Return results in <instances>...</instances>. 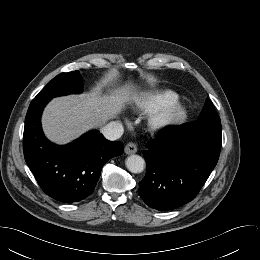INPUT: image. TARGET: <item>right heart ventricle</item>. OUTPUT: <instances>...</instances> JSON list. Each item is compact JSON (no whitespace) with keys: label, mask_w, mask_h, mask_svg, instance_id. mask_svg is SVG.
Instances as JSON below:
<instances>
[{"label":"right heart ventricle","mask_w":260,"mask_h":260,"mask_svg":"<svg viewBox=\"0 0 260 260\" xmlns=\"http://www.w3.org/2000/svg\"><path fill=\"white\" fill-rule=\"evenodd\" d=\"M175 99H178V95L171 90L149 92L136 97L135 106L139 110L149 113Z\"/></svg>","instance_id":"right-heart-ventricle-1"}]
</instances>
